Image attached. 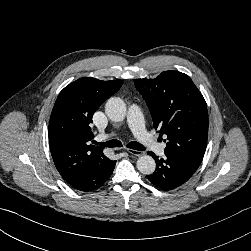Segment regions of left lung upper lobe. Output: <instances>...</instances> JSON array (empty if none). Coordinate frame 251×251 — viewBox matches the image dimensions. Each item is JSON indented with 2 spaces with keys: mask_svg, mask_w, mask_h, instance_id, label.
Segmentation results:
<instances>
[{
  "mask_svg": "<svg viewBox=\"0 0 251 251\" xmlns=\"http://www.w3.org/2000/svg\"><path fill=\"white\" fill-rule=\"evenodd\" d=\"M134 84L148 105L155 129L167 136L165 154L200 165L207 146L208 111L189 76L165 71L155 79H136Z\"/></svg>",
  "mask_w": 251,
  "mask_h": 251,
  "instance_id": "1",
  "label": "left lung upper lobe"
}]
</instances>
